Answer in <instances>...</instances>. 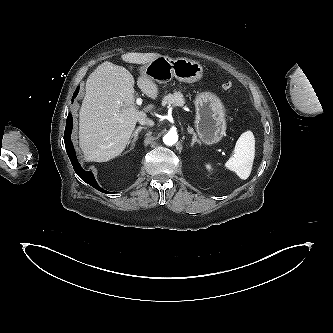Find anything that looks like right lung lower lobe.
Instances as JSON below:
<instances>
[{"instance_id": "1", "label": "right lung lower lobe", "mask_w": 333, "mask_h": 333, "mask_svg": "<svg viewBox=\"0 0 333 333\" xmlns=\"http://www.w3.org/2000/svg\"><path fill=\"white\" fill-rule=\"evenodd\" d=\"M78 92H79V87L74 92L73 98H75L77 96ZM72 102H73V99H72ZM72 124H73L72 114H69L67 117L66 127H65V132H64V142H65V148H66L67 154L72 163L74 171L83 181H85L86 183H88L89 185L94 187L95 189H97L103 193H109L108 191L103 190L97 184L92 172L85 171L81 168V165L79 164V162L77 160L76 153H75L72 141H71Z\"/></svg>"}]
</instances>
